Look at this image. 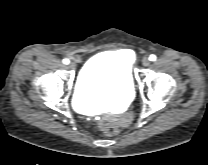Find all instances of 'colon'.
<instances>
[{"instance_id":"colon-1","label":"colon","mask_w":208,"mask_h":165,"mask_svg":"<svg viewBox=\"0 0 208 165\" xmlns=\"http://www.w3.org/2000/svg\"><path fill=\"white\" fill-rule=\"evenodd\" d=\"M98 126L100 130L108 136H114L119 132L118 126L114 122L107 119H100Z\"/></svg>"}]
</instances>
